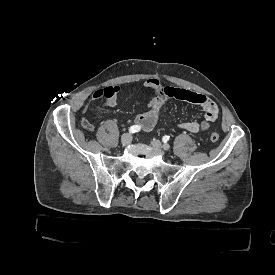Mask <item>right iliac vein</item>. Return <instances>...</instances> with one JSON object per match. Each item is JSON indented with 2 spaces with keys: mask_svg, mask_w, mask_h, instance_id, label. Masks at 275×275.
<instances>
[{
  "mask_svg": "<svg viewBox=\"0 0 275 275\" xmlns=\"http://www.w3.org/2000/svg\"><path fill=\"white\" fill-rule=\"evenodd\" d=\"M132 141V134L130 133H125L121 137V143L123 145H128Z\"/></svg>",
  "mask_w": 275,
  "mask_h": 275,
  "instance_id": "right-iliac-vein-1",
  "label": "right iliac vein"
}]
</instances>
